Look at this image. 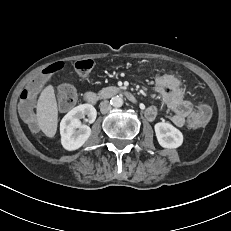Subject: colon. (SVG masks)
Segmentation results:
<instances>
[{
	"label": "colon",
	"mask_w": 231,
	"mask_h": 231,
	"mask_svg": "<svg viewBox=\"0 0 231 231\" xmlns=\"http://www.w3.org/2000/svg\"><path fill=\"white\" fill-rule=\"evenodd\" d=\"M94 62L91 59L79 60L75 63V70L80 77H86L93 69ZM63 68V63L57 62L48 66L44 72L38 73L29 87L23 90L20 97V111L21 114L31 123L33 120V109L36 97L41 87L49 84V75L53 74ZM162 82L172 83L176 89L181 93H186L187 96L193 97L196 94L195 89L189 88L188 85L183 84L181 80L176 79L175 76L162 75L160 77ZM77 91L74 86L70 84H63L58 90V105L62 111H68L76 104ZM212 115V110L206 103H199L196 108V113L189 119L188 124L192 127H201L208 123Z\"/></svg>",
	"instance_id": "5ec220e1"
}]
</instances>
